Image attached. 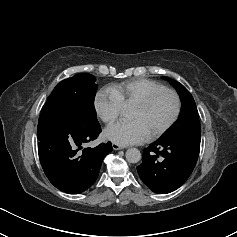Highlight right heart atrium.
Segmentation results:
<instances>
[{"label":"right heart atrium","instance_id":"d8ad5b80","mask_svg":"<svg viewBox=\"0 0 237 237\" xmlns=\"http://www.w3.org/2000/svg\"><path fill=\"white\" fill-rule=\"evenodd\" d=\"M94 108L104 123L111 124L119 117L122 103L114 91L110 88H103L94 98Z\"/></svg>","mask_w":237,"mask_h":237}]
</instances>
